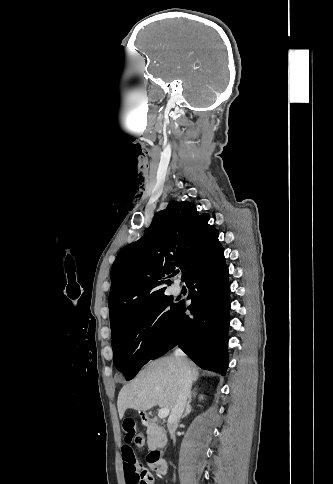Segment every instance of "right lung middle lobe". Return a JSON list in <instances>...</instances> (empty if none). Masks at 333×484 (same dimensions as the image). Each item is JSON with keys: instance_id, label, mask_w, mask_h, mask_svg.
Masks as SVG:
<instances>
[{"instance_id": "1", "label": "right lung middle lobe", "mask_w": 333, "mask_h": 484, "mask_svg": "<svg viewBox=\"0 0 333 484\" xmlns=\"http://www.w3.org/2000/svg\"><path fill=\"white\" fill-rule=\"evenodd\" d=\"M178 310L179 304L164 295L137 308L111 330L113 361L127 380L151 360Z\"/></svg>"}]
</instances>
